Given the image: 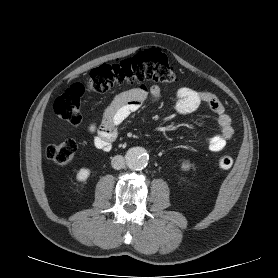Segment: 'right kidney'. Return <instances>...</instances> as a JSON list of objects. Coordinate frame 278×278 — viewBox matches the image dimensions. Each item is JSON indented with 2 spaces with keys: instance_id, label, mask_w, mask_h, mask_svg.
<instances>
[{
  "instance_id": "1",
  "label": "right kidney",
  "mask_w": 278,
  "mask_h": 278,
  "mask_svg": "<svg viewBox=\"0 0 278 278\" xmlns=\"http://www.w3.org/2000/svg\"><path fill=\"white\" fill-rule=\"evenodd\" d=\"M90 175V170L87 168H82L77 173V180L80 182H84L88 179Z\"/></svg>"
}]
</instances>
